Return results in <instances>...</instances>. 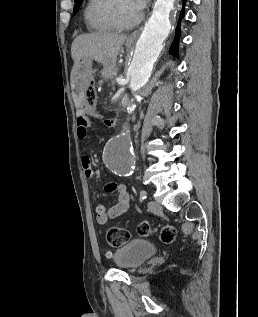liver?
I'll use <instances>...</instances> for the list:
<instances>
[{
  "label": "liver",
  "mask_w": 258,
  "mask_h": 317,
  "mask_svg": "<svg viewBox=\"0 0 258 317\" xmlns=\"http://www.w3.org/2000/svg\"><path fill=\"white\" fill-rule=\"evenodd\" d=\"M126 34L119 32H91V34H79L72 42L71 56L76 64L82 56L94 58L97 62H101L104 70H113L116 68V58L118 50H120Z\"/></svg>",
  "instance_id": "6515ba94"
}]
</instances>
